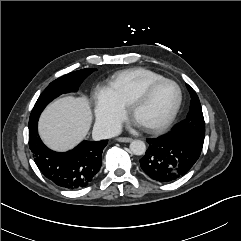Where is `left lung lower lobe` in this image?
<instances>
[{
  "label": "left lung lower lobe",
  "mask_w": 241,
  "mask_h": 241,
  "mask_svg": "<svg viewBox=\"0 0 241 241\" xmlns=\"http://www.w3.org/2000/svg\"><path fill=\"white\" fill-rule=\"evenodd\" d=\"M147 142L149 148L140 159L141 169L151 179L162 183L175 181L188 173L201 153L181 134L170 133Z\"/></svg>",
  "instance_id": "obj_1"
}]
</instances>
